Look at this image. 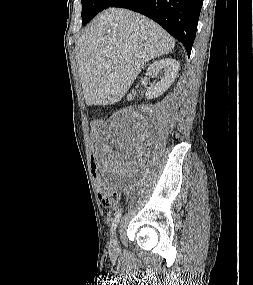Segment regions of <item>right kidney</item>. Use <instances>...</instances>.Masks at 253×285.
Returning a JSON list of instances; mask_svg holds the SVG:
<instances>
[{
    "label": "right kidney",
    "instance_id": "ca27d5eb",
    "mask_svg": "<svg viewBox=\"0 0 253 285\" xmlns=\"http://www.w3.org/2000/svg\"><path fill=\"white\" fill-rule=\"evenodd\" d=\"M163 70V76L157 83H151L146 92L147 99H153L161 96L166 92L179 71V63L172 58H164L154 61L149 65L146 71V75L151 76L155 72ZM132 99V95L128 96V100Z\"/></svg>",
    "mask_w": 253,
    "mask_h": 285
}]
</instances>
